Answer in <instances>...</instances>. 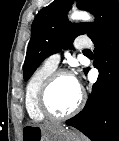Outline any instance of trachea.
<instances>
[{
	"instance_id": "obj_1",
	"label": "trachea",
	"mask_w": 119,
	"mask_h": 141,
	"mask_svg": "<svg viewBox=\"0 0 119 141\" xmlns=\"http://www.w3.org/2000/svg\"><path fill=\"white\" fill-rule=\"evenodd\" d=\"M84 52H86V53H90V52H91V50L86 49V50H84Z\"/></svg>"
}]
</instances>
